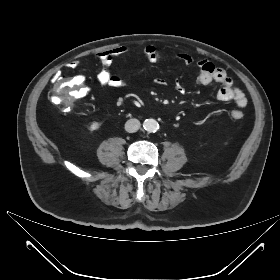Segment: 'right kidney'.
I'll return each mask as SVG.
<instances>
[{
  "mask_svg": "<svg viewBox=\"0 0 280 280\" xmlns=\"http://www.w3.org/2000/svg\"><path fill=\"white\" fill-rule=\"evenodd\" d=\"M99 126H100V124H99V123H97V122H93V123L90 125L89 129H90L91 131H93V130L98 129V128H99Z\"/></svg>",
  "mask_w": 280,
  "mask_h": 280,
  "instance_id": "obj_1",
  "label": "right kidney"
}]
</instances>
